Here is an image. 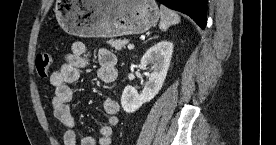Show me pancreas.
Returning <instances> with one entry per match:
<instances>
[{
  "mask_svg": "<svg viewBox=\"0 0 276 145\" xmlns=\"http://www.w3.org/2000/svg\"><path fill=\"white\" fill-rule=\"evenodd\" d=\"M111 47H113L116 51H121L123 48H125L126 40H109L107 42Z\"/></svg>",
  "mask_w": 276,
  "mask_h": 145,
  "instance_id": "obj_1",
  "label": "pancreas"
}]
</instances>
